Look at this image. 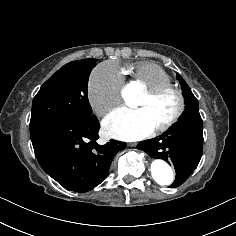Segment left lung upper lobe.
<instances>
[{"label":"left lung upper lobe","mask_w":236,"mask_h":236,"mask_svg":"<svg viewBox=\"0 0 236 236\" xmlns=\"http://www.w3.org/2000/svg\"><path fill=\"white\" fill-rule=\"evenodd\" d=\"M177 79L180 81L185 96L186 109L182 117L178 122H202L199 113V103L196 97L193 95L187 83L182 79L180 75H177Z\"/></svg>","instance_id":"1"}]
</instances>
